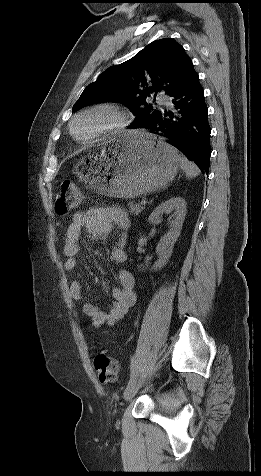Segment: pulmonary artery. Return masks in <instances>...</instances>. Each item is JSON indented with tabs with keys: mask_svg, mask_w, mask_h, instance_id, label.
<instances>
[{
	"mask_svg": "<svg viewBox=\"0 0 261 476\" xmlns=\"http://www.w3.org/2000/svg\"><path fill=\"white\" fill-rule=\"evenodd\" d=\"M157 101H158V103L161 104V105H166V106H170V105H171V102L169 101V99L166 98V97H164V96H162V95L158 96Z\"/></svg>",
	"mask_w": 261,
	"mask_h": 476,
	"instance_id": "obj_1",
	"label": "pulmonary artery"
}]
</instances>
